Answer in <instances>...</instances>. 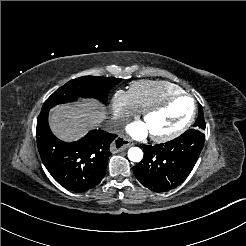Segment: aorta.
<instances>
[{"instance_id": "762f6f07", "label": "aorta", "mask_w": 246, "mask_h": 246, "mask_svg": "<svg viewBox=\"0 0 246 246\" xmlns=\"http://www.w3.org/2000/svg\"><path fill=\"white\" fill-rule=\"evenodd\" d=\"M128 158L132 162H140L143 158V152L139 147H131L128 150Z\"/></svg>"}]
</instances>
